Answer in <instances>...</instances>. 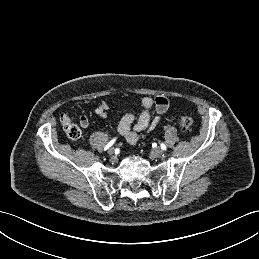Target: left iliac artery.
I'll return each instance as SVG.
<instances>
[{"mask_svg": "<svg viewBox=\"0 0 259 259\" xmlns=\"http://www.w3.org/2000/svg\"><path fill=\"white\" fill-rule=\"evenodd\" d=\"M161 148L163 149V150H166V145L165 144H161Z\"/></svg>", "mask_w": 259, "mask_h": 259, "instance_id": "44dca946", "label": "left iliac artery"}]
</instances>
